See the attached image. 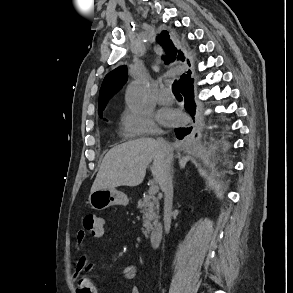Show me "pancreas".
<instances>
[{"label":"pancreas","instance_id":"1","mask_svg":"<svg viewBox=\"0 0 293 293\" xmlns=\"http://www.w3.org/2000/svg\"><path fill=\"white\" fill-rule=\"evenodd\" d=\"M137 208L143 214V234L148 236L153 229L152 221L159 218V202L154 195L146 194L138 201Z\"/></svg>","mask_w":293,"mask_h":293}]
</instances>
